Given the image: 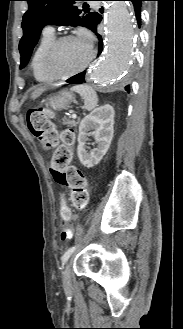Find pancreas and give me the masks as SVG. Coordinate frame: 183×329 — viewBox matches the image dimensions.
Masks as SVG:
<instances>
[{"instance_id": "pancreas-1", "label": "pancreas", "mask_w": 183, "mask_h": 329, "mask_svg": "<svg viewBox=\"0 0 183 329\" xmlns=\"http://www.w3.org/2000/svg\"><path fill=\"white\" fill-rule=\"evenodd\" d=\"M63 124H64V125H67V126H69V127H74V126L77 125V122L74 121V120H64V121H63Z\"/></svg>"}]
</instances>
